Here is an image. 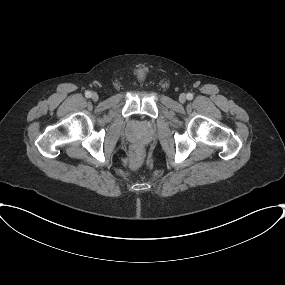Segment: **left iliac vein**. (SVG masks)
I'll return each instance as SVG.
<instances>
[{"label":"left iliac vein","mask_w":285,"mask_h":285,"mask_svg":"<svg viewBox=\"0 0 285 285\" xmlns=\"http://www.w3.org/2000/svg\"><path fill=\"white\" fill-rule=\"evenodd\" d=\"M179 101H180L181 103H184V102L186 101V95H185V94H181V95L179 96Z\"/></svg>","instance_id":"obj_1"}]
</instances>
